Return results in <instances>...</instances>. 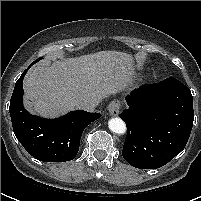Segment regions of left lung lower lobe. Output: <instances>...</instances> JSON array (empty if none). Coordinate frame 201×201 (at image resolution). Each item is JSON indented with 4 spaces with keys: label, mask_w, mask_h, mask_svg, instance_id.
<instances>
[{
    "label": "left lung lower lobe",
    "mask_w": 201,
    "mask_h": 201,
    "mask_svg": "<svg viewBox=\"0 0 201 201\" xmlns=\"http://www.w3.org/2000/svg\"><path fill=\"white\" fill-rule=\"evenodd\" d=\"M128 109L120 114L127 125L123 158L139 169H157L186 146L193 121L189 88L170 77L145 85L126 98Z\"/></svg>",
    "instance_id": "left-lung-lower-lobe-1"
}]
</instances>
